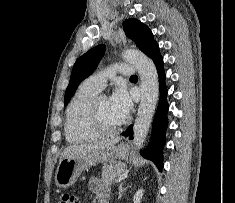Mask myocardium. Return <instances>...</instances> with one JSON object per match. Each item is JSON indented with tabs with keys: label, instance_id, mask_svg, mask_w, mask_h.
Returning <instances> with one entry per match:
<instances>
[{
	"label": "myocardium",
	"instance_id": "myocardium-1",
	"mask_svg": "<svg viewBox=\"0 0 235 203\" xmlns=\"http://www.w3.org/2000/svg\"><path fill=\"white\" fill-rule=\"evenodd\" d=\"M101 98L102 97H96L91 102L90 109H89V122H90L92 129L99 136H112V135L119 133L123 129L126 122L123 120V122L115 128L105 127L99 115V100Z\"/></svg>",
	"mask_w": 235,
	"mask_h": 203
}]
</instances>
